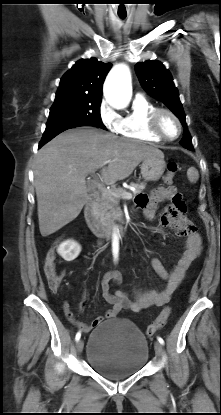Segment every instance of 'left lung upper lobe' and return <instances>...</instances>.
<instances>
[{"label": "left lung upper lobe", "instance_id": "left-lung-upper-lobe-1", "mask_svg": "<svg viewBox=\"0 0 221 415\" xmlns=\"http://www.w3.org/2000/svg\"><path fill=\"white\" fill-rule=\"evenodd\" d=\"M135 70L143 89L155 99L163 102L180 119L185 128L180 144L192 150V138L186 125V116L170 72L161 62L153 60L137 63Z\"/></svg>", "mask_w": 221, "mask_h": 415}]
</instances>
